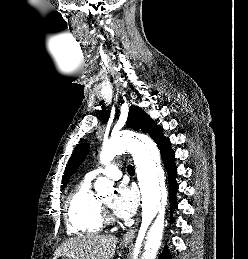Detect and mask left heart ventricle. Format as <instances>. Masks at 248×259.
I'll use <instances>...</instances> for the list:
<instances>
[{
	"label": "left heart ventricle",
	"instance_id": "b2bd125f",
	"mask_svg": "<svg viewBox=\"0 0 248 259\" xmlns=\"http://www.w3.org/2000/svg\"><path fill=\"white\" fill-rule=\"evenodd\" d=\"M105 204H107L108 206L111 204V198H105L103 199V201Z\"/></svg>",
	"mask_w": 248,
	"mask_h": 259
}]
</instances>
